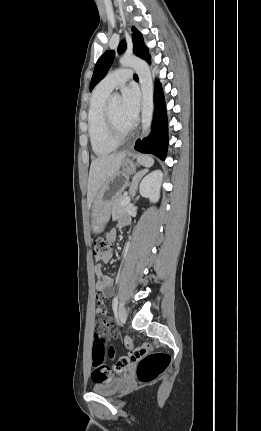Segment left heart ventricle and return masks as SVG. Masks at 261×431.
Returning <instances> with one entry per match:
<instances>
[{
    "label": "left heart ventricle",
    "instance_id": "1",
    "mask_svg": "<svg viewBox=\"0 0 261 431\" xmlns=\"http://www.w3.org/2000/svg\"><path fill=\"white\" fill-rule=\"evenodd\" d=\"M111 119L119 132L124 133L130 128L125 124L121 117L120 105L114 103L108 107Z\"/></svg>",
    "mask_w": 261,
    "mask_h": 431
}]
</instances>
